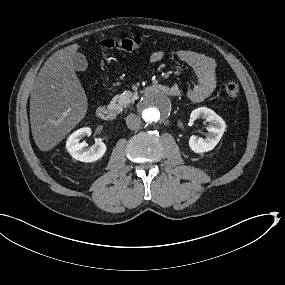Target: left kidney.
I'll use <instances>...</instances> for the list:
<instances>
[{
  "label": "left kidney",
  "mask_w": 285,
  "mask_h": 285,
  "mask_svg": "<svg viewBox=\"0 0 285 285\" xmlns=\"http://www.w3.org/2000/svg\"><path fill=\"white\" fill-rule=\"evenodd\" d=\"M199 118L209 122L208 134L206 138H198L192 135L189 139V146L194 152L203 153L212 150L218 144L225 131L226 124L219 115L206 107H200L191 112L190 120L195 121Z\"/></svg>",
  "instance_id": "5707ae66"
}]
</instances>
